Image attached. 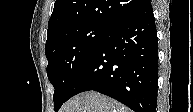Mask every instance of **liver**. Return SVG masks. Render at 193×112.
Returning <instances> with one entry per match:
<instances>
[{"label":"liver","instance_id":"liver-1","mask_svg":"<svg viewBox=\"0 0 193 112\" xmlns=\"http://www.w3.org/2000/svg\"><path fill=\"white\" fill-rule=\"evenodd\" d=\"M61 112H131L115 100L95 91L78 94L68 100Z\"/></svg>","mask_w":193,"mask_h":112}]
</instances>
